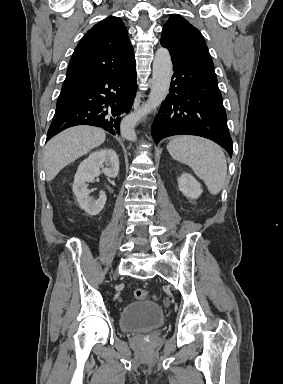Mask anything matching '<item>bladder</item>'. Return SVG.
<instances>
[{"mask_svg": "<svg viewBox=\"0 0 283 384\" xmlns=\"http://www.w3.org/2000/svg\"><path fill=\"white\" fill-rule=\"evenodd\" d=\"M165 316L158 302L138 301L125 304L119 312V327L124 331L154 330Z\"/></svg>", "mask_w": 283, "mask_h": 384, "instance_id": "obj_1", "label": "bladder"}]
</instances>
